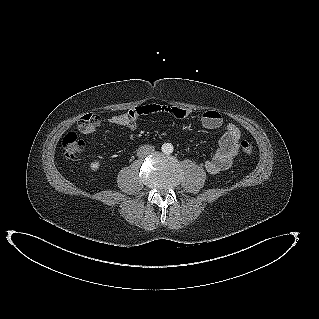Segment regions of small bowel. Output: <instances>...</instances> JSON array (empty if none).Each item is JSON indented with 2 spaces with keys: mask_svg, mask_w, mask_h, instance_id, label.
Here are the masks:
<instances>
[{
  "mask_svg": "<svg viewBox=\"0 0 319 319\" xmlns=\"http://www.w3.org/2000/svg\"><path fill=\"white\" fill-rule=\"evenodd\" d=\"M158 113L179 119H187L190 115L189 110L182 107L151 103L135 106L125 113L105 119L93 114V120L85 124H79L78 129L84 135H92L97 131L98 127L107 123L113 126L126 127L133 131L137 128V121L141 116ZM201 125L205 129L216 130L223 125V118L217 111H207L201 117ZM240 138L241 132L239 128L235 124L228 123L220 139L218 149L213 157L205 162V168L209 173L216 174L231 167L238 154Z\"/></svg>",
  "mask_w": 319,
  "mask_h": 319,
  "instance_id": "small-bowel-1",
  "label": "small bowel"
}]
</instances>
